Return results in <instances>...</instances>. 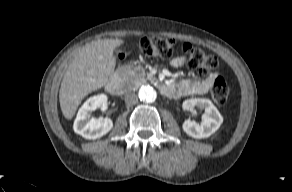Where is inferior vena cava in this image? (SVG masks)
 Segmentation results:
<instances>
[{"label": "inferior vena cava", "instance_id": "602c4592", "mask_svg": "<svg viewBox=\"0 0 292 192\" xmlns=\"http://www.w3.org/2000/svg\"><path fill=\"white\" fill-rule=\"evenodd\" d=\"M125 102L127 105H134L138 102V96L134 92H128L125 95Z\"/></svg>", "mask_w": 292, "mask_h": 192}]
</instances>
